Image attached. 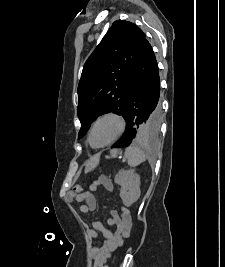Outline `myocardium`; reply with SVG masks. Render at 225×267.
Masks as SVG:
<instances>
[{"instance_id":"obj_1","label":"myocardium","mask_w":225,"mask_h":267,"mask_svg":"<svg viewBox=\"0 0 225 267\" xmlns=\"http://www.w3.org/2000/svg\"><path fill=\"white\" fill-rule=\"evenodd\" d=\"M105 118H113L115 119L117 122H118V131L117 133L115 134V136L110 139L108 142L102 144V145H99V146H95L92 144L91 142V135H92V131L94 129V126L99 122L101 121L102 119H105ZM126 127H127V122H126V119L125 117L117 112V111H108V112H105L101 115H99L91 124L90 128H89V131H88V136H87V140H88V143L89 145L94 148V149H101V148H104L106 146H109L113 143H115L117 140H119L122 135L124 134L125 130H126Z\"/></svg>"}]
</instances>
